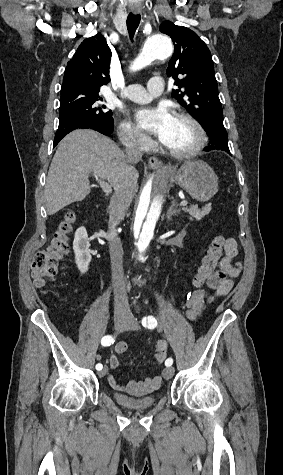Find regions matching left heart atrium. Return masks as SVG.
<instances>
[{"instance_id": "left-heart-atrium-1", "label": "left heart atrium", "mask_w": 283, "mask_h": 475, "mask_svg": "<svg viewBox=\"0 0 283 475\" xmlns=\"http://www.w3.org/2000/svg\"><path fill=\"white\" fill-rule=\"evenodd\" d=\"M135 117L140 128L152 132L161 141L169 137L174 118L167 107L141 109Z\"/></svg>"}]
</instances>
